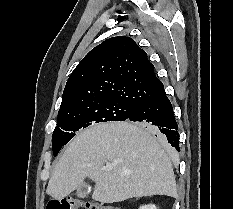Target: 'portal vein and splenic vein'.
<instances>
[{"label": "portal vein and splenic vein", "mask_w": 233, "mask_h": 209, "mask_svg": "<svg viewBox=\"0 0 233 209\" xmlns=\"http://www.w3.org/2000/svg\"><path fill=\"white\" fill-rule=\"evenodd\" d=\"M106 168L107 169H112V165L111 164H107Z\"/></svg>", "instance_id": "portal-vein-and-splenic-vein-1"}]
</instances>
